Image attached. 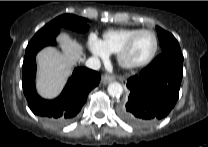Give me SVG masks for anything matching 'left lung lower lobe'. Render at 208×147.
<instances>
[{
	"label": "left lung lower lobe",
	"instance_id": "obj_1",
	"mask_svg": "<svg viewBox=\"0 0 208 147\" xmlns=\"http://www.w3.org/2000/svg\"><path fill=\"white\" fill-rule=\"evenodd\" d=\"M183 76V56L161 53L139 75L128 79L129 99L120 117L136 127H146L166 117L175 106Z\"/></svg>",
	"mask_w": 208,
	"mask_h": 147
}]
</instances>
